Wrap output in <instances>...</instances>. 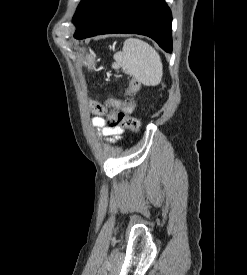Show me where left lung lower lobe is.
<instances>
[{
  "label": "left lung lower lobe",
  "instance_id": "1",
  "mask_svg": "<svg viewBox=\"0 0 247 275\" xmlns=\"http://www.w3.org/2000/svg\"><path fill=\"white\" fill-rule=\"evenodd\" d=\"M172 15L164 0H101L74 34L84 39L108 33L148 36L172 52Z\"/></svg>",
  "mask_w": 247,
  "mask_h": 275
}]
</instances>
